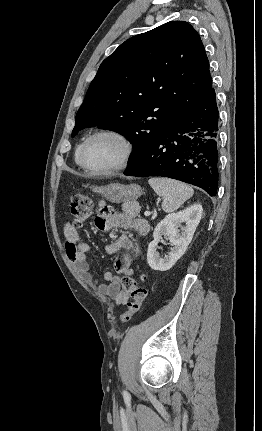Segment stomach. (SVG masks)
Listing matches in <instances>:
<instances>
[{"label":"stomach","instance_id":"obj_1","mask_svg":"<svg viewBox=\"0 0 262 431\" xmlns=\"http://www.w3.org/2000/svg\"><path fill=\"white\" fill-rule=\"evenodd\" d=\"M92 190L112 203L123 202L132 207L135 200L143 194V189L138 184L110 183L106 186H93Z\"/></svg>","mask_w":262,"mask_h":431}]
</instances>
